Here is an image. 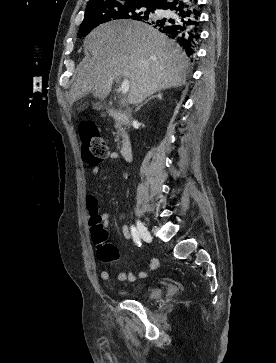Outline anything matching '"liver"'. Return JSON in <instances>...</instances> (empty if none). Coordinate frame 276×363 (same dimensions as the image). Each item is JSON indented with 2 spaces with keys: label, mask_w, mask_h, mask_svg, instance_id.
<instances>
[{
  "label": "liver",
  "mask_w": 276,
  "mask_h": 363,
  "mask_svg": "<svg viewBox=\"0 0 276 363\" xmlns=\"http://www.w3.org/2000/svg\"><path fill=\"white\" fill-rule=\"evenodd\" d=\"M91 59L78 67L69 103L92 93L104 100L114 80L129 81V104L185 84L189 73L186 55L173 41L146 23L116 20L95 28L84 41Z\"/></svg>",
  "instance_id": "liver-1"
}]
</instances>
